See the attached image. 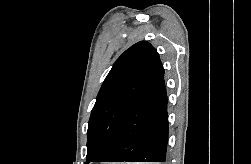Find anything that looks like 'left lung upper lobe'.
<instances>
[{
  "mask_svg": "<svg viewBox=\"0 0 251 164\" xmlns=\"http://www.w3.org/2000/svg\"><path fill=\"white\" fill-rule=\"evenodd\" d=\"M163 74L157 51L146 41L134 44L116 60L91 112L85 164L108 157L128 111Z\"/></svg>",
  "mask_w": 251,
  "mask_h": 164,
  "instance_id": "1",
  "label": "left lung upper lobe"
}]
</instances>
